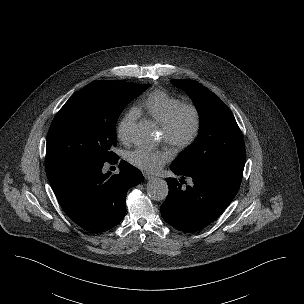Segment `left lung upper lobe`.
Returning a JSON list of instances; mask_svg holds the SVG:
<instances>
[{
  "label": "left lung upper lobe",
  "instance_id": "obj_1",
  "mask_svg": "<svg viewBox=\"0 0 304 304\" xmlns=\"http://www.w3.org/2000/svg\"><path fill=\"white\" fill-rule=\"evenodd\" d=\"M192 98L200 113L195 141L172 163L182 171L230 170L243 173L246 151L241 131L230 109L194 80H171Z\"/></svg>",
  "mask_w": 304,
  "mask_h": 304
}]
</instances>
